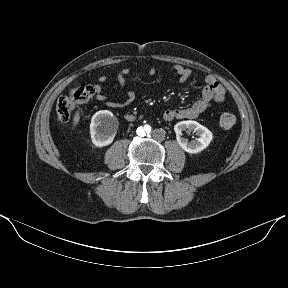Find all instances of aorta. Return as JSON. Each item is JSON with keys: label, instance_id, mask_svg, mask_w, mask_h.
I'll return each mask as SVG.
<instances>
[{"label": "aorta", "instance_id": "aorta-1", "mask_svg": "<svg viewBox=\"0 0 288 288\" xmlns=\"http://www.w3.org/2000/svg\"><path fill=\"white\" fill-rule=\"evenodd\" d=\"M153 131V128L149 124H144L138 127L137 129V134L141 138H146L151 136V133Z\"/></svg>", "mask_w": 288, "mask_h": 288}]
</instances>
